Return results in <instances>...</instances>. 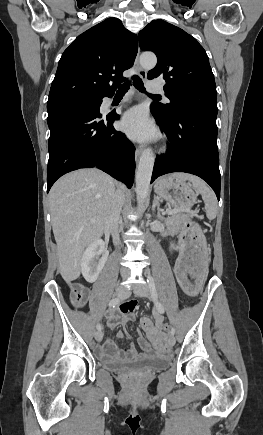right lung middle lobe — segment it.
Here are the masks:
<instances>
[{"label": "right lung middle lobe", "mask_w": 263, "mask_h": 435, "mask_svg": "<svg viewBox=\"0 0 263 435\" xmlns=\"http://www.w3.org/2000/svg\"><path fill=\"white\" fill-rule=\"evenodd\" d=\"M100 103H101V99L68 102V103L47 106V111H48V115H50L52 113L62 111V110H68V109L98 108Z\"/></svg>", "instance_id": "right-lung-middle-lobe-1"}]
</instances>
